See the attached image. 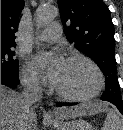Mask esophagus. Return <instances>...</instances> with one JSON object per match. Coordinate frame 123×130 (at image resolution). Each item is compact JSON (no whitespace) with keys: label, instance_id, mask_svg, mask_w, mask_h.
Returning a JSON list of instances; mask_svg holds the SVG:
<instances>
[{"label":"esophagus","instance_id":"1","mask_svg":"<svg viewBox=\"0 0 123 130\" xmlns=\"http://www.w3.org/2000/svg\"><path fill=\"white\" fill-rule=\"evenodd\" d=\"M46 116H47V117H51V114H50V113H47Z\"/></svg>","mask_w":123,"mask_h":130}]
</instances>
